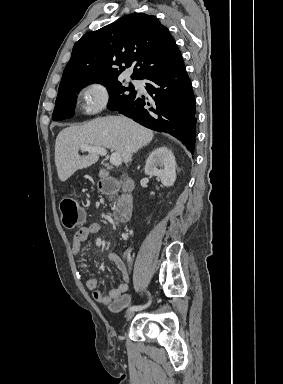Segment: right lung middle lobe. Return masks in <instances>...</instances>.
I'll return each mask as SVG.
<instances>
[{
  "mask_svg": "<svg viewBox=\"0 0 283 384\" xmlns=\"http://www.w3.org/2000/svg\"><path fill=\"white\" fill-rule=\"evenodd\" d=\"M107 87L110 95L108 108L136 96L134 86L130 84L128 87L124 86L117 79L105 80L97 82ZM90 83H73L60 86L56 98L55 109L52 115L54 121H61L73 116L75 108L77 93ZM130 91V94L126 92Z\"/></svg>",
  "mask_w": 283,
  "mask_h": 384,
  "instance_id": "obj_1",
  "label": "right lung middle lobe"
}]
</instances>
